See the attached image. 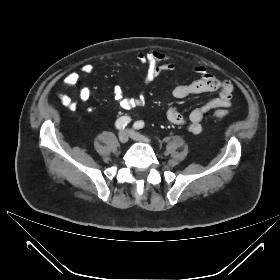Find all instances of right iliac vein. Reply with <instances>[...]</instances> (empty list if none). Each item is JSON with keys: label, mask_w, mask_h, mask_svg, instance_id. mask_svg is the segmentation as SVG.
I'll return each instance as SVG.
<instances>
[{"label": "right iliac vein", "mask_w": 280, "mask_h": 280, "mask_svg": "<svg viewBox=\"0 0 280 280\" xmlns=\"http://www.w3.org/2000/svg\"><path fill=\"white\" fill-rule=\"evenodd\" d=\"M118 137L121 143H127L130 137V133L128 130L121 131Z\"/></svg>", "instance_id": "63e3f726"}]
</instances>
